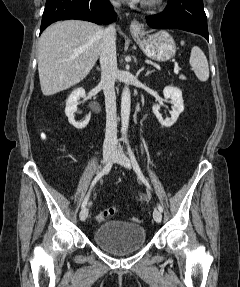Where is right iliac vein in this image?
I'll return each instance as SVG.
<instances>
[{
    "mask_svg": "<svg viewBox=\"0 0 240 287\" xmlns=\"http://www.w3.org/2000/svg\"><path fill=\"white\" fill-rule=\"evenodd\" d=\"M112 153H113V150L112 149H105L103 151V163L106 165L108 164V162L110 161L111 157H112ZM88 216V209L87 208H83L80 212V220L81 221H85L86 218Z\"/></svg>",
    "mask_w": 240,
    "mask_h": 287,
    "instance_id": "1",
    "label": "right iliac vein"
}]
</instances>
